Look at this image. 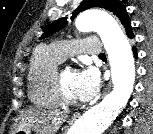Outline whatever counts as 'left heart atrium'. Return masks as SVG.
<instances>
[{"instance_id": "obj_1", "label": "left heart atrium", "mask_w": 153, "mask_h": 134, "mask_svg": "<svg viewBox=\"0 0 153 134\" xmlns=\"http://www.w3.org/2000/svg\"><path fill=\"white\" fill-rule=\"evenodd\" d=\"M99 88L96 71L90 67L76 73L75 90L78 99L88 101L95 96Z\"/></svg>"}]
</instances>
